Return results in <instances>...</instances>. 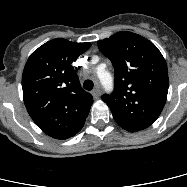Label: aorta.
I'll return each mask as SVG.
<instances>
[{"label":"aorta","instance_id":"762f6f07","mask_svg":"<svg viewBox=\"0 0 187 187\" xmlns=\"http://www.w3.org/2000/svg\"><path fill=\"white\" fill-rule=\"evenodd\" d=\"M97 75L104 89L106 91H110L113 87V80H112L110 73H108L102 68H99Z\"/></svg>","mask_w":187,"mask_h":187}]
</instances>
